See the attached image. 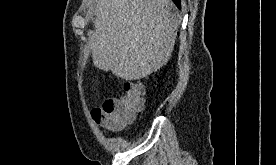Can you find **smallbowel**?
I'll use <instances>...</instances> for the list:
<instances>
[{
	"instance_id": "small-bowel-1",
	"label": "small bowel",
	"mask_w": 276,
	"mask_h": 165,
	"mask_svg": "<svg viewBox=\"0 0 276 165\" xmlns=\"http://www.w3.org/2000/svg\"><path fill=\"white\" fill-rule=\"evenodd\" d=\"M101 109H102V106L93 109V111H92V116H93L94 120H95L98 124H100L101 126H103V127H109V126H110V122H109L107 119H105V118H103V117H98V114L101 113Z\"/></svg>"
}]
</instances>
